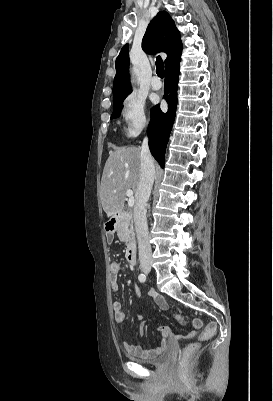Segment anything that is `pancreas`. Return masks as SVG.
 I'll return each mask as SVG.
<instances>
[{"label": "pancreas", "mask_w": 273, "mask_h": 401, "mask_svg": "<svg viewBox=\"0 0 273 401\" xmlns=\"http://www.w3.org/2000/svg\"><path fill=\"white\" fill-rule=\"evenodd\" d=\"M117 235L119 237V241H123V243H128L131 237H134L133 225H129L127 221H121L117 225Z\"/></svg>", "instance_id": "cf45deb5"}]
</instances>
